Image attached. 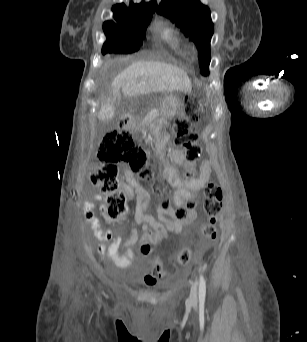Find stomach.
Returning a JSON list of instances; mask_svg holds the SVG:
<instances>
[{
  "instance_id": "0dacf381",
  "label": "stomach",
  "mask_w": 307,
  "mask_h": 342,
  "mask_svg": "<svg viewBox=\"0 0 307 342\" xmlns=\"http://www.w3.org/2000/svg\"><path fill=\"white\" fill-rule=\"evenodd\" d=\"M182 100L178 96H169L164 99L161 105V114L165 118L174 117L180 110Z\"/></svg>"
}]
</instances>
